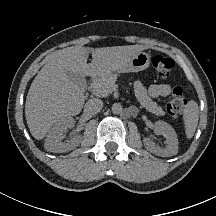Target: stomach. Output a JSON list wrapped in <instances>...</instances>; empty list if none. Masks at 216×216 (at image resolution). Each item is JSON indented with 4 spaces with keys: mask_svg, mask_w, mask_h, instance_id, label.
I'll return each mask as SVG.
<instances>
[{
    "mask_svg": "<svg viewBox=\"0 0 216 216\" xmlns=\"http://www.w3.org/2000/svg\"><path fill=\"white\" fill-rule=\"evenodd\" d=\"M151 56L146 52H139L129 62L125 63L119 72H139L145 70L150 65Z\"/></svg>",
    "mask_w": 216,
    "mask_h": 216,
    "instance_id": "1",
    "label": "stomach"
}]
</instances>
